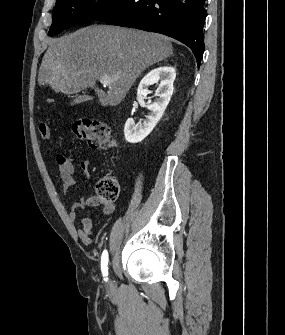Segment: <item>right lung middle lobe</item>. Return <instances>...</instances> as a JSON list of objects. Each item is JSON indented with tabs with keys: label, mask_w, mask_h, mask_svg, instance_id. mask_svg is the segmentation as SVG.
I'll return each instance as SVG.
<instances>
[{
	"label": "right lung middle lobe",
	"mask_w": 285,
	"mask_h": 335,
	"mask_svg": "<svg viewBox=\"0 0 285 335\" xmlns=\"http://www.w3.org/2000/svg\"><path fill=\"white\" fill-rule=\"evenodd\" d=\"M57 0L53 10V23L48 35H55L64 29L96 20L114 7L120 0Z\"/></svg>",
	"instance_id": "dd1d6c3e"
}]
</instances>
